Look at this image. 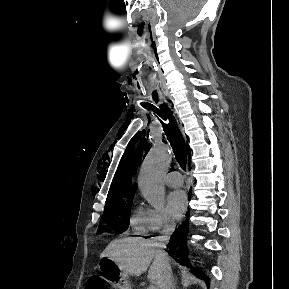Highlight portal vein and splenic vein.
Instances as JSON below:
<instances>
[{
  "instance_id": "1",
  "label": "portal vein and splenic vein",
  "mask_w": 289,
  "mask_h": 289,
  "mask_svg": "<svg viewBox=\"0 0 289 289\" xmlns=\"http://www.w3.org/2000/svg\"><path fill=\"white\" fill-rule=\"evenodd\" d=\"M148 289H157L155 286H150Z\"/></svg>"
}]
</instances>
